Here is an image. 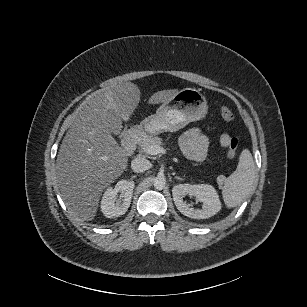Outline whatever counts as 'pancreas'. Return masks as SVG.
<instances>
[{
  "label": "pancreas",
  "instance_id": "pancreas-1",
  "mask_svg": "<svg viewBox=\"0 0 307 307\" xmlns=\"http://www.w3.org/2000/svg\"><path fill=\"white\" fill-rule=\"evenodd\" d=\"M138 145L140 146L143 152L148 154V149L150 148V146L162 145V139L158 136L155 137L146 136L142 141L138 142Z\"/></svg>",
  "mask_w": 307,
  "mask_h": 307
}]
</instances>
